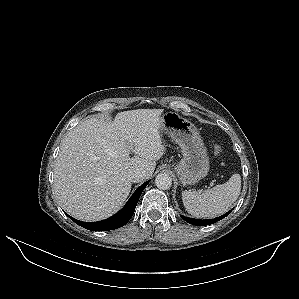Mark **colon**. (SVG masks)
I'll list each match as a JSON object with an SVG mask.
<instances>
[{"mask_svg": "<svg viewBox=\"0 0 299 299\" xmlns=\"http://www.w3.org/2000/svg\"><path fill=\"white\" fill-rule=\"evenodd\" d=\"M215 154L219 155L222 152V149L219 145H214Z\"/></svg>", "mask_w": 299, "mask_h": 299, "instance_id": "obj_1", "label": "colon"}]
</instances>
